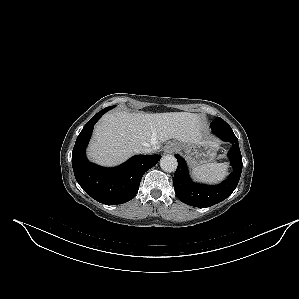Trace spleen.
<instances>
[{
	"mask_svg": "<svg viewBox=\"0 0 299 299\" xmlns=\"http://www.w3.org/2000/svg\"><path fill=\"white\" fill-rule=\"evenodd\" d=\"M226 163H206L193 168L195 178L206 182H218L227 175Z\"/></svg>",
	"mask_w": 299,
	"mask_h": 299,
	"instance_id": "3e777b00",
	"label": "spleen"
}]
</instances>
